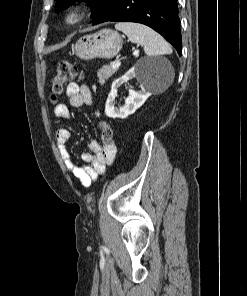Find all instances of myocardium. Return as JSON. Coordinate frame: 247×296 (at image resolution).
Segmentation results:
<instances>
[{"label":"myocardium","instance_id":"obj_1","mask_svg":"<svg viewBox=\"0 0 247 296\" xmlns=\"http://www.w3.org/2000/svg\"><path fill=\"white\" fill-rule=\"evenodd\" d=\"M84 6L81 4H74L70 6L64 16V23L68 27H73L80 23L84 16Z\"/></svg>","mask_w":247,"mask_h":296}]
</instances>
